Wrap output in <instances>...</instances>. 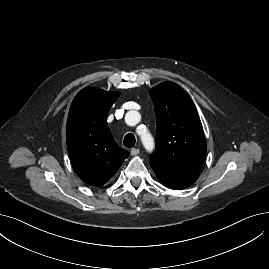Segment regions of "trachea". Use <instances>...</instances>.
<instances>
[{
    "mask_svg": "<svg viewBox=\"0 0 269 269\" xmlns=\"http://www.w3.org/2000/svg\"><path fill=\"white\" fill-rule=\"evenodd\" d=\"M135 142V136L132 133H129L124 137L123 144L124 146L131 148L135 145Z\"/></svg>",
    "mask_w": 269,
    "mask_h": 269,
    "instance_id": "3493384b",
    "label": "trachea"
}]
</instances>
